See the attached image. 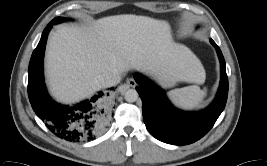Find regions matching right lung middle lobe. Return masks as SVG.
<instances>
[{"label":"right lung middle lobe","instance_id":"right-lung-middle-lobe-1","mask_svg":"<svg viewBox=\"0 0 267 166\" xmlns=\"http://www.w3.org/2000/svg\"><path fill=\"white\" fill-rule=\"evenodd\" d=\"M65 20H67V19L62 18V17H57V18H55V19L53 20V22H54L55 24H57V23H60V22L65 21Z\"/></svg>","mask_w":267,"mask_h":166}]
</instances>
